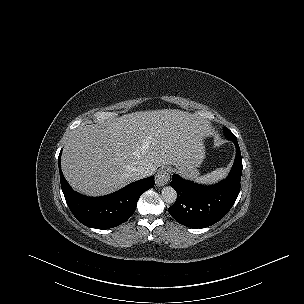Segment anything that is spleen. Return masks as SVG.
Instances as JSON below:
<instances>
[{
	"label": "spleen",
	"mask_w": 304,
	"mask_h": 304,
	"mask_svg": "<svg viewBox=\"0 0 304 304\" xmlns=\"http://www.w3.org/2000/svg\"><path fill=\"white\" fill-rule=\"evenodd\" d=\"M227 172H228L227 168H218V169L212 171L211 173L200 177L198 180L201 183L213 184V183H216L217 181L225 178L227 175Z\"/></svg>",
	"instance_id": "1"
}]
</instances>
